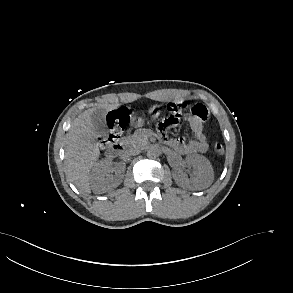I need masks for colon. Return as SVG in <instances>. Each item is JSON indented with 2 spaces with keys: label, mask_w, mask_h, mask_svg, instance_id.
I'll return each instance as SVG.
<instances>
[{
  "label": "colon",
  "mask_w": 293,
  "mask_h": 293,
  "mask_svg": "<svg viewBox=\"0 0 293 293\" xmlns=\"http://www.w3.org/2000/svg\"><path fill=\"white\" fill-rule=\"evenodd\" d=\"M166 109L168 116L158 125V131L164 139H169V131L180 122L185 114H191L202 121L207 120L209 116L207 107L202 103L190 104L186 101H175L168 103ZM127 118L128 113L123 109L115 110L110 114L108 119L109 131L102 139L104 147L119 142ZM213 149L217 155H222L224 152L223 145L218 141L214 142Z\"/></svg>",
  "instance_id": "5ec220e1"
}]
</instances>
